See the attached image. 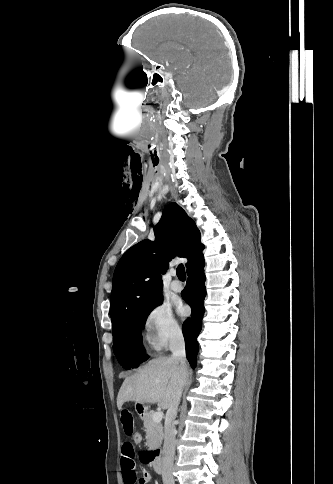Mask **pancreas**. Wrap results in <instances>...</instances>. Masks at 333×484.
<instances>
[{
  "label": "pancreas",
  "mask_w": 333,
  "mask_h": 484,
  "mask_svg": "<svg viewBox=\"0 0 333 484\" xmlns=\"http://www.w3.org/2000/svg\"><path fill=\"white\" fill-rule=\"evenodd\" d=\"M154 411H150L143 416V424L146 432V445L149 450L156 449L162 444L164 437L162 424L153 421Z\"/></svg>",
  "instance_id": "1"
}]
</instances>
